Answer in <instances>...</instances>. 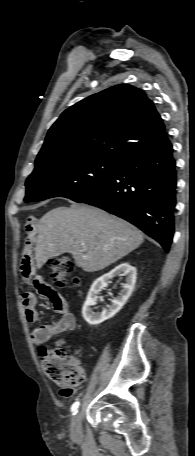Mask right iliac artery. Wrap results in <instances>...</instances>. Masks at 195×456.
<instances>
[{
  "label": "right iliac artery",
  "mask_w": 195,
  "mask_h": 456,
  "mask_svg": "<svg viewBox=\"0 0 195 456\" xmlns=\"http://www.w3.org/2000/svg\"><path fill=\"white\" fill-rule=\"evenodd\" d=\"M79 404H80V403L77 401V402H75V403L72 405L71 411L73 412V414H76L77 408L79 407Z\"/></svg>",
  "instance_id": "1"
}]
</instances>
